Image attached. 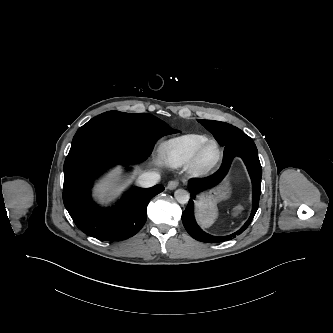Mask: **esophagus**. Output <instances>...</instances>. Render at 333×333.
<instances>
[{
    "label": "esophagus",
    "mask_w": 333,
    "mask_h": 333,
    "mask_svg": "<svg viewBox=\"0 0 333 333\" xmlns=\"http://www.w3.org/2000/svg\"><path fill=\"white\" fill-rule=\"evenodd\" d=\"M178 185H179V182L177 180H171L168 182L167 188L169 190H174L177 188Z\"/></svg>",
    "instance_id": "34e87169"
}]
</instances>
